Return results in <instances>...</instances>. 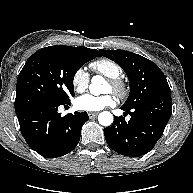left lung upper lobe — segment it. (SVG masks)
I'll list each match as a JSON object with an SVG mask.
<instances>
[{
  "label": "left lung upper lobe",
  "mask_w": 193,
  "mask_h": 193,
  "mask_svg": "<svg viewBox=\"0 0 193 193\" xmlns=\"http://www.w3.org/2000/svg\"><path fill=\"white\" fill-rule=\"evenodd\" d=\"M100 53L120 65L128 76L130 95L123 108L132 109L165 91H170L163 72L147 58L124 50H100Z\"/></svg>",
  "instance_id": "1"
}]
</instances>
